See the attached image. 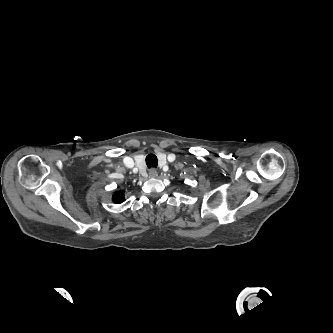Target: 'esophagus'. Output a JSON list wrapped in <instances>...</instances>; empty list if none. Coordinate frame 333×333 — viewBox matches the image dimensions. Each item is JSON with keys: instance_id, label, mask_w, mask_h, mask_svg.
<instances>
[{"instance_id": "obj_1", "label": "esophagus", "mask_w": 333, "mask_h": 333, "mask_svg": "<svg viewBox=\"0 0 333 333\" xmlns=\"http://www.w3.org/2000/svg\"><path fill=\"white\" fill-rule=\"evenodd\" d=\"M157 175H158V172H157V170L155 168H152V169L149 170V176L150 177L154 178Z\"/></svg>"}]
</instances>
